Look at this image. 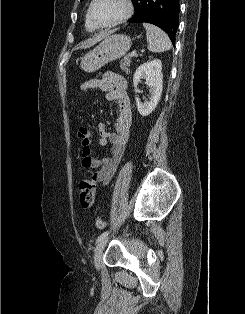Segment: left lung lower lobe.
Masks as SVG:
<instances>
[{"label": "left lung lower lobe", "mask_w": 245, "mask_h": 314, "mask_svg": "<svg viewBox=\"0 0 245 314\" xmlns=\"http://www.w3.org/2000/svg\"><path fill=\"white\" fill-rule=\"evenodd\" d=\"M128 21L154 24L163 29L174 43L179 24V0H141L140 10Z\"/></svg>", "instance_id": "1"}]
</instances>
